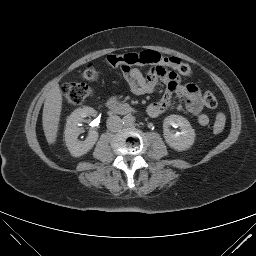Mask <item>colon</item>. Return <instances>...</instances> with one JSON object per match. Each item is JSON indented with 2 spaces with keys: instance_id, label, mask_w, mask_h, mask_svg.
I'll return each mask as SVG.
<instances>
[{
  "instance_id": "colon-1",
  "label": "colon",
  "mask_w": 256,
  "mask_h": 256,
  "mask_svg": "<svg viewBox=\"0 0 256 256\" xmlns=\"http://www.w3.org/2000/svg\"><path fill=\"white\" fill-rule=\"evenodd\" d=\"M162 61H166L171 68L181 75H190L192 70L191 67L182 62L180 59L170 57L164 59L161 55L152 50L143 51L140 53H126V54H111L106 57V62L110 67L123 68L131 67L135 65L143 64H158ZM82 78L88 81H94L98 78V71L94 64L89 63L86 65L82 72ZM63 95L66 100L72 105H79L85 102L92 95V88L85 83L80 82H67L62 87ZM203 104L207 108H215L217 106V99L211 92H206L203 95ZM226 124V117L222 113H218L214 122V131L221 133Z\"/></svg>"
}]
</instances>
